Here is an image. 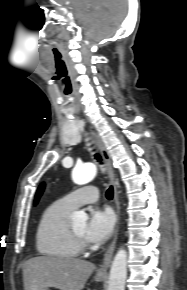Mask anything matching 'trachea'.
Wrapping results in <instances>:
<instances>
[{
    "instance_id": "trachea-1",
    "label": "trachea",
    "mask_w": 187,
    "mask_h": 290,
    "mask_svg": "<svg viewBox=\"0 0 187 290\" xmlns=\"http://www.w3.org/2000/svg\"><path fill=\"white\" fill-rule=\"evenodd\" d=\"M95 159L101 163V158L98 153L95 154ZM113 193H114L113 187L110 186L106 192V197L111 200L113 198Z\"/></svg>"
}]
</instances>
